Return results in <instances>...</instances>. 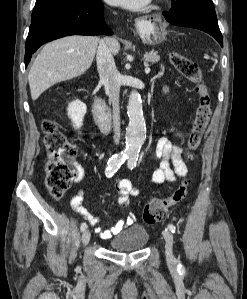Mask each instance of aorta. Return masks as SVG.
<instances>
[{
	"label": "aorta",
	"instance_id": "aorta-1",
	"mask_svg": "<svg viewBox=\"0 0 247 299\" xmlns=\"http://www.w3.org/2000/svg\"><path fill=\"white\" fill-rule=\"evenodd\" d=\"M129 124L126 128V153L137 156L146 137V124L142 110L140 94L133 90L127 106Z\"/></svg>",
	"mask_w": 247,
	"mask_h": 299
}]
</instances>
